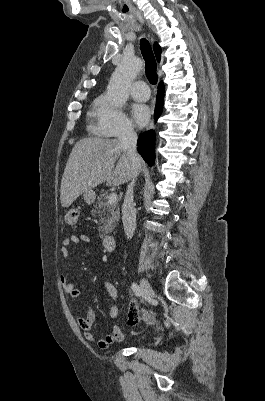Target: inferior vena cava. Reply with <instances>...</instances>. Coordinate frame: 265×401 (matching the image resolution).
<instances>
[{
    "label": "inferior vena cava",
    "mask_w": 265,
    "mask_h": 401,
    "mask_svg": "<svg viewBox=\"0 0 265 401\" xmlns=\"http://www.w3.org/2000/svg\"><path fill=\"white\" fill-rule=\"evenodd\" d=\"M119 140L122 148L126 150L127 156L132 166V180L129 182L122 205V221L126 237L131 239L136 229V211L133 207V188L138 172L139 156L136 152L137 134L134 132L132 124H123V128L119 134Z\"/></svg>",
    "instance_id": "inferior-vena-cava-1"
}]
</instances>
